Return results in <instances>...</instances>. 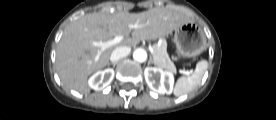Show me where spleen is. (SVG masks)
Masks as SVG:
<instances>
[{"label": "spleen", "instance_id": "spleen-1", "mask_svg": "<svg viewBox=\"0 0 276 120\" xmlns=\"http://www.w3.org/2000/svg\"><path fill=\"white\" fill-rule=\"evenodd\" d=\"M208 63L206 60H201L197 63L196 68L194 72L188 76H182L180 77L174 87V95L175 96H182L184 94L189 93L194 88H196L200 82L201 79L207 69Z\"/></svg>", "mask_w": 276, "mask_h": 120}]
</instances>
